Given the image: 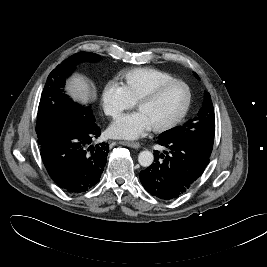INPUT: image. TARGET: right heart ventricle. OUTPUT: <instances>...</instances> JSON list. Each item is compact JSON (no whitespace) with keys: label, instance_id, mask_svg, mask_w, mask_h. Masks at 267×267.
<instances>
[{"label":"right heart ventricle","instance_id":"obj_1","mask_svg":"<svg viewBox=\"0 0 267 267\" xmlns=\"http://www.w3.org/2000/svg\"><path fill=\"white\" fill-rule=\"evenodd\" d=\"M120 78L122 79L124 89L133 102H136L142 95L157 85L174 79L167 72L148 67L124 71L120 74Z\"/></svg>","mask_w":267,"mask_h":267}]
</instances>
